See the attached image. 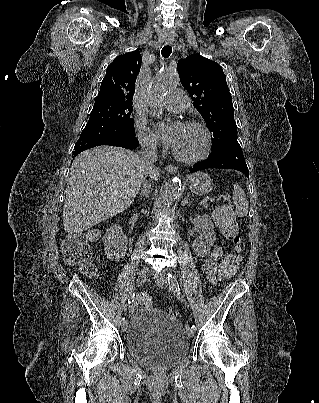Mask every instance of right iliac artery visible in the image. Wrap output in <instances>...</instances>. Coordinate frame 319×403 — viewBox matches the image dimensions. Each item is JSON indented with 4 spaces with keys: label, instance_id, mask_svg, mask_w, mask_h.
<instances>
[{
    "label": "right iliac artery",
    "instance_id": "right-iliac-artery-1",
    "mask_svg": "<svg viewBox=\"0 0 319 403\" xmlns=\"http://www.w3.org/2000/svg\"><path fill=\"white\" fill-rule=\"evenodd\" d=\"M134 296H135L134 293H130V295L128 296V304H131L134 301ZM123 321H125V317L121 319V322Z\"/></svg>",
    "mask_w": 319,
    "mask_h": 403
}]
</instances>
